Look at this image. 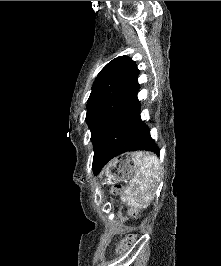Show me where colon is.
I'll return each instance as SVG.
<instances>
[{"mask_svg": "<svg viewBox=\"0 0 221 266\" xmlns=\"http://www.w3.org/2000/svg\"><path fill=\"white\" fill-rule=\"evenodd\" d=\"M121 189H122L121 185H115L112 187V193L117 194L121 191ZM127 209H128V212L131 216H138L139 215L138 210L134 206L128 204ZM134 241H135L134 235L126 236L118 245L116 252L122 253V252L126 251L127 249H129L131 247V245L134 243Z\"/></svg>", "mask_w": 221, "mask_h": 266, "instance_id": "5ec220e1", "label": "colon"}]
</instances>
